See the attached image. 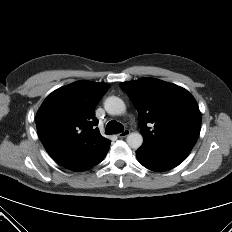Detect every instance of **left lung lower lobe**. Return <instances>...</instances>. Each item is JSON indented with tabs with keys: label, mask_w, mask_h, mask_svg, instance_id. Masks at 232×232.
<instances>
[{
	"label": "left lung lower lobe",
	"mask_w": 232,
	"mask_h": 232,
	"mask_svg": "<svg viewBox=\"0 0 232 232\" xmlns=\"http://www.w3.org/2000/svg\"><path fill=\"white\" fill-rule=\"evenodd\" d=\"M192 147L178 145L169 147H149L142 145L137 151L138 161L153 171H166L179 165L191 152Z\"/></svg>",
	"instance_id": "0a47b994"
}]
</instances>
